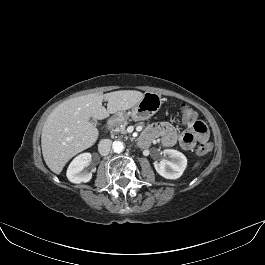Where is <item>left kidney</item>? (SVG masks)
Returning a JSON list of instances; mask_svg holds the SVG:
<instances>
[{
    "mask_svg": "<svg viewBox=\"0 0 265 265\" xmlns=\"http://www.w3.org/2000/svg\"><path fill=\"white\" fill-rule=\"evenodd\" d=\"M163 153L168 159H162L156 163L155 170L166 179H178L187 166L186 156L174 149H166Z\"/></svg>",
    "mask_w": 265,
    "mask_h": 265,
    "instance_id": "obj_1",
    "label": "left kidney"
}]
</instances>
